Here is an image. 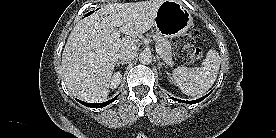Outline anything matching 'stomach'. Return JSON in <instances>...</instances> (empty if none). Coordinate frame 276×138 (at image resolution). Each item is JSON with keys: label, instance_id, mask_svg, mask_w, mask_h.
I'll list each match as a JSON object with an SVG mask.
<instances>
[{"label": "stomach", "instance_id": "0dacf381", "mask_svg": "<svg viewBox=\"0 0 276 138\" xmlns=\"http://www.w3.org/2000/svg\"><path fill=\"white\" fill-rule=\"evenodd\" d=\"M193 24L190 12L176 0H165L157 9L154 27L166 38L183 35Z\"/></svg>", "mask_w": 276, "mask_h": 138}]
</instances>
